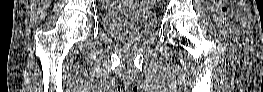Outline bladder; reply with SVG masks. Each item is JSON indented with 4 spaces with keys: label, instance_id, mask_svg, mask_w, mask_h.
Returning a JSON list of instances; mask_svg holds the SVG:
<instances>
[{
    "label": "bladder",
    "instance_id": "1",
    "mask_svg": "<svg viewBox=\"0 0 263 92\" xmlns=\"http://www.w3.org/2000/svg\"><path fill=\"white\" fill-rule=\"evenodd\" d=\"M101 21L114 38L134 44L146 38L156 25L154 13L149 7L135 8L131 5L104 11Z\"/></svg>",
    "mask_w": 263,
    "mask_h": 92
}]
</instances>
